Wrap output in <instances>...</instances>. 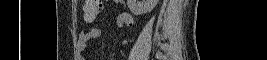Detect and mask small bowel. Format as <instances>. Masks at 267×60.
<instances>
[{
	"instance_id": "1",
	"label": "small bowel",
	"mask_w": 267,
	"mask_h": 60,
	"mask_svg": "<svg viewBox=\"0 0 267 60\" xmlns=\"http://www.w3.org/2000/svg\"><path fill=\"white\" fill-rule=\"evenodd\" d=\"M114 2L118 3L122 7L125 6V1L123 0ZM116 23L118 26L131 25L133 23V17L129 13L123 12L116 17ZM99 36H100V29L96 27H90L83 30L79 34L78 41L81 45H83L93 39L98 38Z\"/></svg>"
}]
</instances>
